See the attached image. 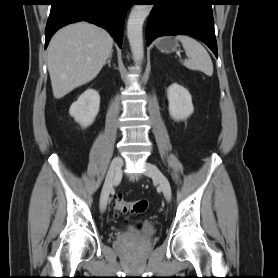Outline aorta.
I'll list each match as a JSON object with an SVG mask.
<instances>
[{
	"mask_svg": "<svg viewBox=\"0 0 278 278\" xmlns=\"http://www.w3.org/2000/svg\"><path fill=\"white\" fill-rule=\"evenodd\" d=\"M151 9V5H134L128 18L127 37L136 63H141L144 56L143 24Z\"/></svg>",
	"mask_w": 278,
	"mask_h": 278,
	"instance_id": "obj_1",
	"label": "aorta"
}]
</instances>
